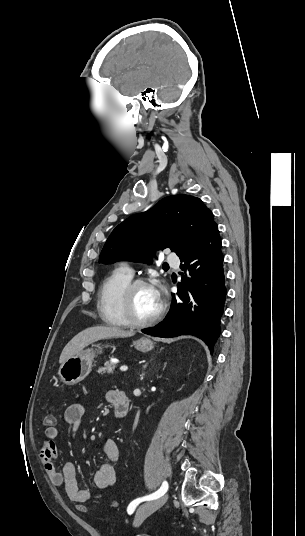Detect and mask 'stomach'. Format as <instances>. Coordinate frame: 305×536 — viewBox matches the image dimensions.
<instances>
[{
  "label": "stomach",
  "instance_id": "1",
  "mask_svg": "<svg viewBox=\"0 0 305 536\" xmlns=\"http://www.w3.org/2000/svg\"><path fill=\"white\" fill-rule=\"evenodd\" d=\"M134 346L139 352H150L153 348V344L148 338L137 340ZM96 354H100V352H96L94 348L80 350L75 356H71L69 360H66L64 364H61L58 370L59 378H61L62 382L67 384V386H75L78 382H82V380L90 374L92 362Z\"/></svg>",
  "mask_w": 305,
  "mask_h": 536
}]
</instances>
